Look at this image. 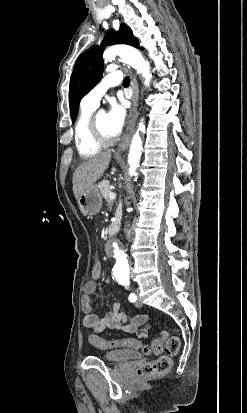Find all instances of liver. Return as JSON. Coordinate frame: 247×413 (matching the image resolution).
Here are the masks:
<instances>
[{"label": "liver", "mask_w": 247, "mask_h": 413, "mask_svg": "<svg viewBox=\"0 0 247 413\" xmlns=\"http://www.w3.org/2000/svg\"><path fill=\"white\" fill-rule=\"evenodd\" d=\"M111 156V150H104V152L86 158L82 164L75 168L72 180L75 198H79L80 194L86 192L102 176L109 166ZM114 158H118L116 152H114Z\"/></svg>", "instance_id": "6515ba94"}]
</instances>
